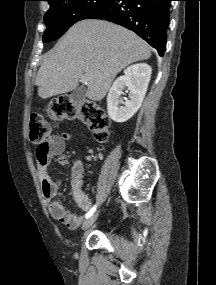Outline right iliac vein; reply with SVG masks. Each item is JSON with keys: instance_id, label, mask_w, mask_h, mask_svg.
Instances as JSON below:
<instances>
[{"instance_id": "right-iliac-vein-1", "label": "right iliac vein", "mask_w": 216, "mask_h": 285, "mask_svg": "<svg viewBox=\"0 0 216 285\" xmlns=\"http://www.w3.org/2000/svg\"><path fill=\"white\" fill-rule=\"evenodd\" d=\"M98 217V213L92 215L91 217H89L82 225V229L86 230L88 229L97 219Z\"/></svg>"}]
</instances>
